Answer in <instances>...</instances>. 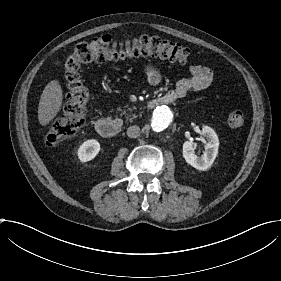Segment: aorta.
<instances>
[{
  "label": "aorta",
  "mask_w": 281,
  "mask_h": 281,
  "mask_svg": "<svg viewBox=\"0 0 281 281\" xmlns=\"http://www.w3.org/2000/svg\"><path fill=\"white\" fill-rule=\"evenodd\" d=\"M173 120L172 111L168 106H158L152 117V127L155 131H162L170 126Z\"/></svg>",
  "instance_id": "aorta-1"
}]
</instances>
